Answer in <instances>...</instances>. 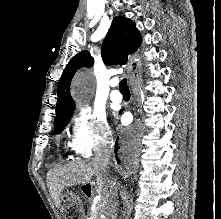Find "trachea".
<instances>
[{"mask_svg": "<svg viewBox=\"0 0 221 219\" xmlns=\"http://www.w3.org/2000/svg\"><path fill=\"white\" fill-rule=\"evenodd\" d=\"M119 89L121 92H129V88H128V85H127V79L124 78L120 81V84H119Z\"/></svg>", "mask_w": 221, "mask_h": 219, "instance_id": "3493384b", "label": "trachea"}]
</instances>
